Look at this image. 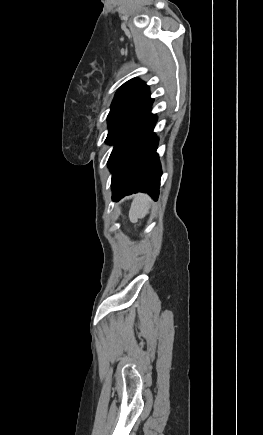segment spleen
<instances>
[{"mask_svg":"<svg viewBox=\"0 0 263 435\" xmlns=\"http://www.w3.org/2000/svg\"><path fill=\"white\" fill-rule=\"evenodd\" d=\"M150 208V198L147 195H138L133 199L131 204L129 217L131 221H137L139 218H144Z\"/></svg>","mask_w":263,"mask_h":435,"instance_id":"spleen-1","label":"spleen"}]
</instances>
